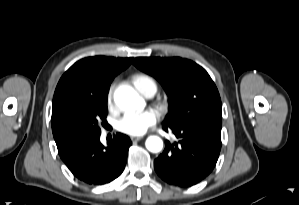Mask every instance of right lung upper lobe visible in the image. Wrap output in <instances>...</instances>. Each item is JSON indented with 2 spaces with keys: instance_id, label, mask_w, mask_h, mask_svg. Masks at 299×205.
I'll list each match as a JSON object with an SVG mask.
<instances>
[{
  "instance_id": "1",
  "label": "right lung upper lobe",
  "mask_w": 299,
  "mask_h": 205,
  "mask_svg": "<svg viewBox=\"0 0 299 205\" xmlns=\"http://www.w3.org/2000/svg\"><path fill=\"white\" fill-rule=\"evenodd\" d=\"M133 58L105 56L77 61L61 77L53 97L52 115L69 98L84 96L106 89L114 77L126 69Z\"/></svg>"
}]
</instances>
